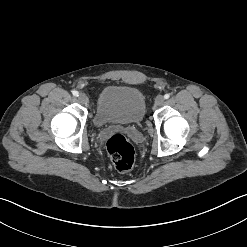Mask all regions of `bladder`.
<instances>
[{
  "label": "bladder",
  "mask_w": 247,
  "mask_h": 247,
  "mask_svg": "<svg viewBox=\"0 0 247 247\" xmlns=\"http://www.w3.org/2000/svg\"><path fill=\"white\" fill-rule=\"evenodd\" d=\"M146 102L143 93L132 86L110 84L97 97L94 123L98 127L113 124H139Z\"/></svg>",
  "instance_id": "bladder-1"
}]
</instances>
